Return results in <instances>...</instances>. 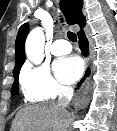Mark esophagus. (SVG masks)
<instances>
[{
  "instance_id": "obj_1",
  "label": "esophagus",
  "mask_w": 117,
  "mask_h": 131,
  "mask_svg": "<svg viewBox=\"0 0 117 131\" xmlns=\"http://www.w3.org/2000/svg\"><path fill=\"white\" fill-rule=\"evenodd\" d=\"M89 101V97H88V89L87 86L81 91L79 92L74 100H73V105L76 109H80L86 106V104Z\"/></svg>"
}]
</instances>
